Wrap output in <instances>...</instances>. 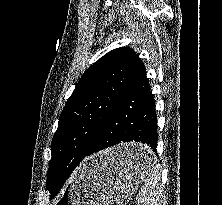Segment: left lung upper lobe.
<instances>
[{
  "instance_id": "1",
  "label": "left lung upper lobe",
  "mask_w": 222,
  "mask_h": 205,
  "mask_svg": "<svg viewBox=\"0 0 222 205\" xmlns=\"http://www.w3.org/2000/svg\"><path fill=\"white\" fill-rule=\"evenodd\" d=\"M141 60L122 47L111 50L90 66L76 85L59 118L51 143L46 187L52 192L64 176L57 163L67 153L85 154L113 105L129 84Z\"/></svg>"
}]
</instances>
